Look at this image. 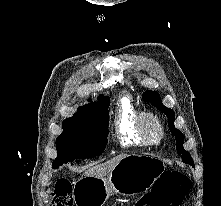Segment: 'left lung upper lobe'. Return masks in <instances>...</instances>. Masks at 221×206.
I'll return each mask as SVG.
<instances>
[{
	"mask_svg": "<svg viewBox=\"0 0 221 206\" xmlns=\"http://www.w3.org/2000/svg\"><path fill=\"white\" fill-rule=\"evenodd\" d=\"M142 97L146 101H150V103L153 106H155L157 109H159L160 111L166 114V116L169 119V129L176 139V144H177L176 149L178 154L182 156V161L184 163H187L194 167L193 159L191 158L190 154L187 151H185V149L183 148V143H184L183 134L181 133L180 130L176 129L174 126V120H175L174 111L171 110L170 108L165 107L162 104L160 95L157 92L147 90L146 92L143 93Z\"/></svg>",
	"mask_w": 221,
	"mask_h": 206,
	"instance_id": "1",
	"label": "left lung upper lobe"
}]
</instances>
